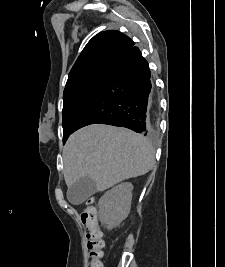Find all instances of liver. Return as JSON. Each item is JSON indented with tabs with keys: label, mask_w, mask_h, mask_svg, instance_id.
<instances>
[{
	"label": "liver",
	"mask_w": 225,
	"mask_h": 267,
	"mask_svg": "<svg viewBox=\"0 0 225 267\" xmlns=\"http://www.w3.org/2000/svg\"><path fill=\"white\" fill-rule=\"evenodd\" d=\"M155 151L142 135L126 128L91 124L74 132L63 149L64 178L68 187L82 177L104 191L129 178L149 172Z\"/></svg>",
	"instance_id": "liver-1"
}]
</instances>
